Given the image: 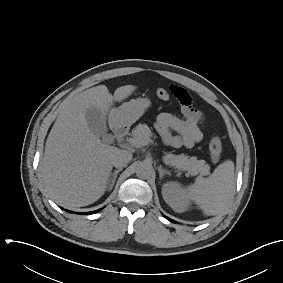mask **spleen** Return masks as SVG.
<instances>
[{
  "instance_id": "1",
  "label": "spleen",
  "mask_w": 283,
  "mask_h": 283,
  "mask_svg": "<svg viewBox=\"0 0 283 283\" xmlns=\"http://www.w3.org/2000/svg\"><path fill=\"white\" fill-rule=\"evenodd\" d=\"M235 166L226 160L205 179H198L190 184L185 195L194 201L206 215H217L223 211L232 199L235 186Z\"/></svg>"
}]
</instances>
